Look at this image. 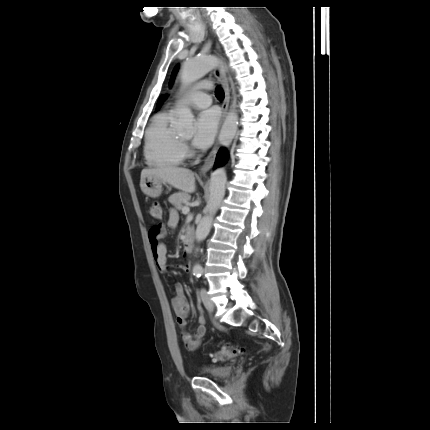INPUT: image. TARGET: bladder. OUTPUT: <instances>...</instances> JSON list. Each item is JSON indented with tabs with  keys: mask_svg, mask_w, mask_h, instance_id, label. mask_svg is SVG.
Here are the masks:
<instances>
[{
	"mask_svg": "<svg viewBox=\"0 0 430 430\" xmlns=\"http://www.w3.org/2000/svg\"><path fill=\"white\" fill-rule=\"evenodd\" d=\"M233 372L230 366H206L202 369V373L210 378L224 380L231 376Z\"/></svg>",
	"mask_w": 430,
	"mask_h": 430,
	"instance_id": "31cf9c89",
	"label": "bladder"
}]
</instances>
